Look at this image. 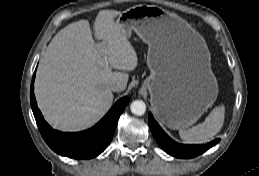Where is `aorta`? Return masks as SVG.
<instances>
[{
  "instance_id": "762f6f07",
  "label": "aorta",
  "mask_w": 259,
  "mask_h": 176,
  "mask_svg": "<svg viewBox=\"0 0 259 176\" xmlns=\"http://www.w3.org/2000/svg\"><path fill=\"white\" fill-rule=\"evenodd\" d=\"M130 109L134 115L142 116L146 112V105L142 100H135L131 103Z\"/></svg>"
}]
</instances>
